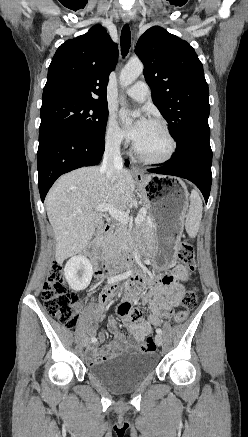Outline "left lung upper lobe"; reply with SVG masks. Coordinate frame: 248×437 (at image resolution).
<instances>
[{
    "mask_svg": "<svg viewBox=\"0 0 248 437\" xmlns=\"http://www.w3.org/2000/svg\"><path fill=\"white\" fill-rule=\"evenodd\" d=\"M135 52L144 64L153 103L169 123L177 145L192 131L209 127V89L190 44L153 26L140 37Z\"/></svg>",
    "mask_w": 248,
    "mask_h": 437,
    "instance_id": "1",
    "label": "left lung upper lobe"
}]
</instances>
